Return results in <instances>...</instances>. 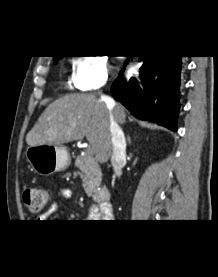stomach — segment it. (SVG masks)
Instances as JSON below:
<instances>
[{"label": "stomach", "mask_w": 218, "mask_h": 277, "mask_svg": "<svg viewBox=\"0 0 218 277\" xmlns=\"http://www.w3.org/2000/svg\"><path fill=\"white\" fill-rule=\"evenodd\" d=\"M26 158L39 175H50L67 169L71 163V157L62 145L39 144L30 146L25 152Z\"/></svg>", "instance_id": "obj_1"}]
</instances>
